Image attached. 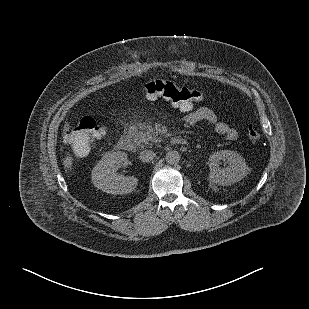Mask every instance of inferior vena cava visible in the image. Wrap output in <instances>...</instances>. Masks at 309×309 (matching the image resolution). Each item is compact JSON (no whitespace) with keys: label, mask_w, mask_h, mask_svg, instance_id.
I'll list each match as a JSON object with an SVG mask.
<instances>
[{"label":"inferior vena cava","mask_w":309,"mask_h":309,"mask_svg":"<svg viewBox=\"0 0 309 309\" xmlns=\"http://www.w3.org/2000/svg\"><path fill=\"white\" fill-rule=\"evenodd\" d=\"M156 157V154L151 150H144L140 153V160L142 162H150Z\"/></svg>","instance_id":"1"}]
</instances>
